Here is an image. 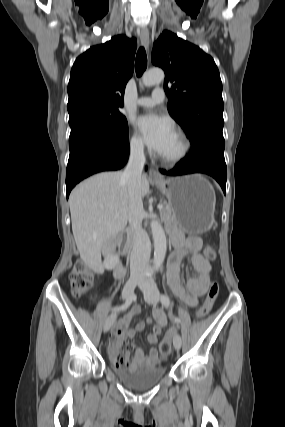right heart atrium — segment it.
Returning <instances> with one entry per match:
<instances>
[{
    "label": "right heart atrium",
    "mask_w": 285,
    "mask_h": 427,
    "mask_svg": "<svg viewBox=\"0 0 285 427\" xmlns=\"http://www.w3.org/2000/svg\"><path fill=\"white\" fill-rule=\"evenodd\" d=\"M128 146L130 152L135 156H142L145 153V145L136 133L130 135Z\"/></svg>",
    "instance_id": "d8ad5b80"
}]
</instances>
